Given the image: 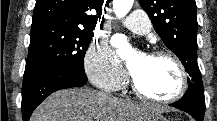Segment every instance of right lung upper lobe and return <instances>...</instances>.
Instances as JSON below:
<instances>
[{
    "label": "right lung upper lobe",
    "mask_w": 217,
    "mask_h": 121,
    "mask_svg": "<svg viewBox=\"0 0 217 121\" xmlns=\"http://www.w3.org/2000/svg\"><path fill=\"white\" fill-rule=\"evenodd\" d=\"M102 3V0H37L32 25L55 22L94 29Z\"/></svg>",
    "instance_id": "obj_1"
}]
</instances>
